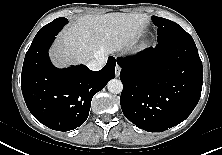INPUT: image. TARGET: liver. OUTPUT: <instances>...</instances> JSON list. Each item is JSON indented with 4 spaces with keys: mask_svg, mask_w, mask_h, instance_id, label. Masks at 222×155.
<instances>
[{
    "mask_svg": "<svg viewBox=\"0 0 222 155\" xmlns=\"http://www.w3.org/2000/svg\"><path fill=\"white\" fill-rule=\"evenodd\" d=\"M146 14L108 13L86 15L67 26L50 52L58 67L86 63L121 50L141 35L148 23Z\"/></svg>",
    "mask_w": 222,
    "mask_h": 155,
    "instance_id": "liver-1",
    "label": "liver"
}]
</instances>
